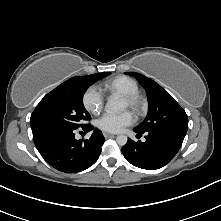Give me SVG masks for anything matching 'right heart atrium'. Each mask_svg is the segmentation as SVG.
I'll use <instances>...</instances> for the list:
<instances>
[{
	"label": "right heart atrium",
	"instance_id": "obj_1",
	"mask_svg": "<svg viewBox=\"0 0 221 221\" xmlns=\"http://www.w3.org/2000/svg\"><path fill=\"white\" fill-rule=\"evenodd\" d=\"M82 103L87 111L96 114L103 108L104 96L96 86H90L82 96Z\"/></svg>",
	"mask_w": 221,
	"mask_h": 221
}]
</instances>
